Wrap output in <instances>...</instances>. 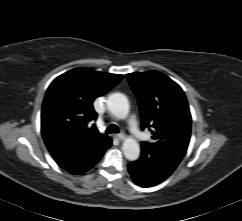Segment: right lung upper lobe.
I'll list each match as a JSON object with an SVG mask.
<instances>
[{
  "mask_svg": "<svg viewBox=\"0 0 242 221\" xmlns=\"http://www.w3.org/2000/svg\"><path fill=\"white\" fill-rule=\"evenodd\" d=\"M121 79L119 74L75 68L50 84L42 105L41 133L60 167L84 171L106 151L111 138L92 124L97 118L92 103Z\"/></svg>",
  "mask_w": 242,
  "mask_h": 221,
  "instance_id": "1",
  "label": "right lung upper lobe"
}]
</instances>
